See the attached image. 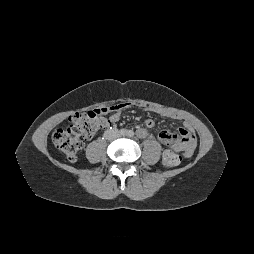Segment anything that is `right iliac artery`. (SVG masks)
<instances>
[{"label":"right iliac artery","instance_id":"obj_1","mask_svg":"<svg viewBox=\"0 0 254 254\" xmlns=\"http://www.w3.org/2000/svg\"><path fill=\"white\" fill-rule=\"evenodd\" d=\"M119 133L122 135V136H125L127 134V130L126 129H121L119 131Z\"/></svg>","mask_w":254,"mask_h":254}]
</instances>
